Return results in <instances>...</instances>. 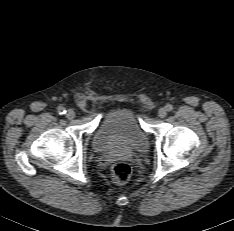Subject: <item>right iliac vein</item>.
I'll return each mask as SVG.
<instances>
[{"instance_id": "obj_1", "label": "right iliac vein", "mask_w": 234, "mask_h": 231, "mask_svg": "<svg viewBox=\"0 0 234 231\" xmlns=\"http://www.w3.org/2000/svg\"><path fill=\"white\" fill-rule=\"evenodd\" d=\"M66 117H67L69 120L74 119V118H75V112H74L72 109L67 110V112H66Z\"/></svg>"}]
</instances>
